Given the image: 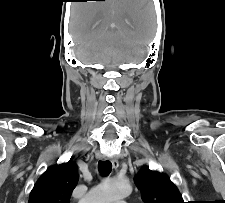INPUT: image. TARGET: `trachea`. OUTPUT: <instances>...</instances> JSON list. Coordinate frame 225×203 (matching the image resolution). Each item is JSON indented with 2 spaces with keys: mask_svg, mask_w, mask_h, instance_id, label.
Wrapping results in <instances>:
<instances>
[{
  "mask_svg": "<svg viewBox=\"0 0 225 203\" xmlns=\"http://www.w3.org/2000/svg\"><path fill=\"white\" fill-rule=\"evenodd\" d=\"M98 170L102 176L109 175L112 170L111 162L109 160L99 161L98 162Z\"/></svg>",
  "mask_w": 225,
  "mask_h": 203,
  "instance_id": "1",
  "label": "trachea"
}]
</instances>
